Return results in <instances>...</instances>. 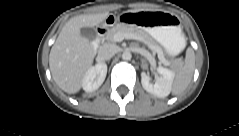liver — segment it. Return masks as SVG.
<instances>
[{"instance_id":"1","label":"liver","mask_w":239,"mask_h":136,"mask_svg":"<svg viewBox=\"0 0 239 136\" xmlns=\"http://www.w3.org/2000/svg\"><path fill=\"white\" fill-rule=\"evenodd\" d=\"M108 16L109 13L105 12L73 17L59 33L49 54V67L55 83L64 92L75 94L80 91L96 54L90 41L82 37L81 28H93Z\"/></svg>"}]
</instances>
